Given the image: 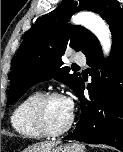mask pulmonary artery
<instances>
[{
  "instance_id": "pulmonary-artery-1",
  "label": "pulmonary artery",
  "mask_w": 123,
  "mask_h": 152,
  "mask_svg": "<svg viewBox=\"0 0 123 152\" xmlns=\"http://www.w3.org/2000/svg\"><path fill=\"white\" fill-rule=\"evenodd\" d=\"M73 61L75 63H78V64H84L85 63V57L83 55H75L73 57Z\"/></svg>"
}]
</instances>
